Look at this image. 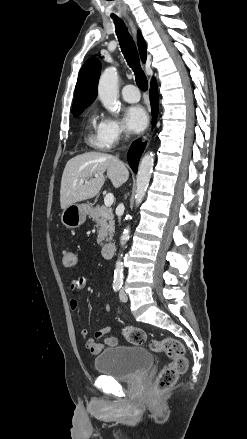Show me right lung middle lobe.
<instances>
[{"mask_svg": "<svg viewBox=\"0 0 247 439\" xmlns=\"http://www.w3.org/2000/svg\"><path fill=\"white\" fill-rule=\"evenodd\" d=\"M84 109L76 111L73 113L74 116H78L79 114H81L83 112Z\"/></svg>", "mask_w": 247, "mask_h": 439, "instance_id": "dd1d6c3e", "label": "right lung middle lobe"}]
</instances>
